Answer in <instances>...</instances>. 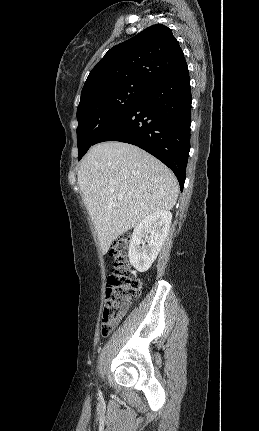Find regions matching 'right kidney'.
<instances>
[{
	"label": "right kidney",
	"instance_id": "right-kidney-1",
	"mask_svg": "<svg viewBox=\"0 0 259 431\" xmlns=\"http://www.w3.org/2000/svg\"><path fill=\"white\" fill-rule=\"evenodd\" d=\"M171 220V212L161 210L148 215L136 225L128 256L137 271L145 272L151 267L167 237Z\"/></svg>",
	"mask_w": 259,
	"mask_h": 431
}]
</instances>
